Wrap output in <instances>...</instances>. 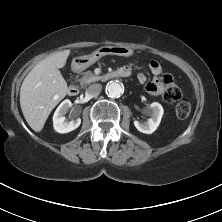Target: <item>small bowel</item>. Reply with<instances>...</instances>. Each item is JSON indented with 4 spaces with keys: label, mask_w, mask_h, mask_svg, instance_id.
Masks as SVG:
<instances>
[{
    "label": "small bowel",
    "mask_w": 222,
    "mask_h": 222,
    "mask_svg": "<svg viewBox=\"0 0 222 222\" xmlns=\"http://www.w3.org/2000/svg\"><path fill=\"white\" fill-rule=\"evenodd\" d=\"M129 69L128 67H125ZM149 68L152 74L155 76L151 81L147 82V78L144 74L138 75V80L142 84H146V90L152 95H160L164 90V86L158 75L161 73V65L157 61H151L149 63ZM130 71V69H129Z\"/></svg>",
    "instance_id": "c3829d8e"
}]
</instances>
